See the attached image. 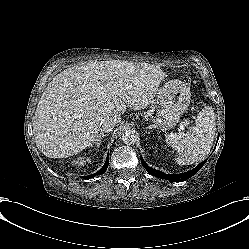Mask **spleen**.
Here are the masks:
<instances>
[{
  "label": "spleen",
  "instance_id": "1",
  "mask_svg": "<svg viewBox=\"0 0 249 249\" xmlns=\"http://www.w3.org/2000/svg\"><path fill=\"white\" fill-rule=\"evenodd\" d=\"M215 134V125L209 113L203 110L199 113L195 126L187 132L171 133L165 139L166 143L178 152V164H190L202 160L210 150Z\"/></svg>",
  "mask_w": 249,
  "mask_h": 249
}]
</instances>
